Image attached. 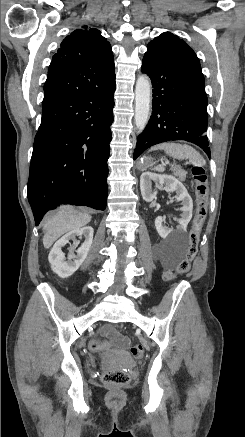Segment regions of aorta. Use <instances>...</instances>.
I'll return each mask as SVG.
<instances>
[{
    "mask_svg": "<svg viewBox=\"0 0 245 437\" xmlns=\"http://www.w3.org/2000/svg\"><path fill=\"white\" fill-rule=\"evenodd\" d=\"M151 104V83L146 75L138 77L135 87V125L141 133L149 120Z\"/></svg>",
    "mask_w": 245,
    "mask_h": 437,
    "instance_id": "aorta-1",
    "label": "aorta"
}]
</instances>
